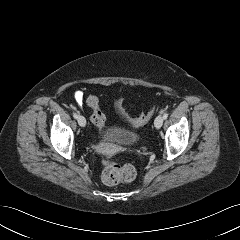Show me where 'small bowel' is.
<instances>
[{"instance_id":"obj_1","label":"small bowel","mask_w":240,"mask_h":240,"mask_svg":"<svg viewBox=\"0 0 240 240\" xmlns=\"http://www.w3.org/2000/svg\"><path fill=\"white\" fill-rule=\"evenodd\" d=\"M75 100L78 104H82L84 100V95L82 91H77L74 95Z\"/></svg>"}]
</instances>
